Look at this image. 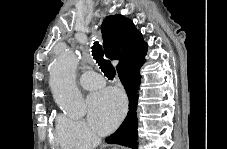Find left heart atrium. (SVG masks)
Here are the masks:
<instances>
[{"instance_id": "39dd6f15", "label": "left heart atrium", "mask_w": 227, "mask_h": 149, "mask_svg": "<svg viewBox=\"0 0 227 149\" xmlns=\"http://www.w3.org/2000/svg\"><path fill=\"white\" fill-rule=\"evenodd\" d=\"M89 121L93 128L105 134L112 131L122 119L126 100L117 89L108 88L92 94L88 99Z\"/></svg>"}]
</instances>
